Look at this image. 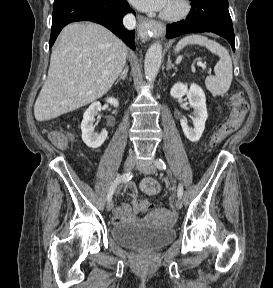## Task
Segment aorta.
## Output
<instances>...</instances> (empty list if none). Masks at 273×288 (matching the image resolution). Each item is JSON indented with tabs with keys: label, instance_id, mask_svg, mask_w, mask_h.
<instances>
[{
	"label": "aorta",
	"instance_id": "aorta-1",
	"mask_svg": "<svg viewBox=\"0 0 273 288\" xmlns=\"http://www.w3.org/2000/svg\"><path fill=\"white\" fill-rule=\"evenodd\" d=\"M162 62V45L152 44L145 55L144 71L146 80L153 82L158 74Z\"/></svg>",
	"mask_w": 273,
	"mask_h": 288
}]
</instances>
